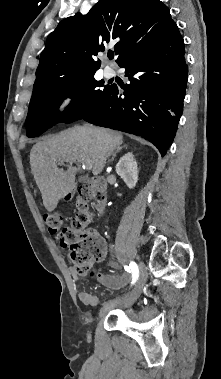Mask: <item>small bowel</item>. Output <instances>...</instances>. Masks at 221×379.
I'll return each mask as SVG.
<instances>
[{
    "label": "small bowel",
    "mask_w": 221,
    "mask_h": 379,
    "mask_svg": "<svg viewBox=\"0 0 221 379\" xmlns=\"http://www.w3.org/2000/svg\"><path fill=\"white\" fill-rule=\"evenodd\" d=\"M110 266L115 267V268L118 267L116 263H110ZM89 273L95 274L97 279L104 286H106L109 289H114V290H117L126 286L131 279V276L128 272H125L121 275H109V274H104L101 271H98V268L95 266H92L89 268ZM90 274H87V277H90ZM71 276L74 282L76 283L80 282L77 272L73 269L71 270ZM78 297L83 304L90 307L97 306L99 302L98 297L88 291H80L78 294Z\"/></svg>",
    "instance_id": "small-bowel-1"
}]
</instances>
